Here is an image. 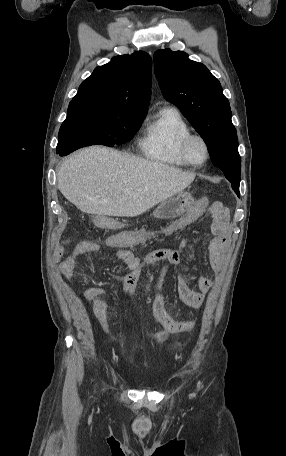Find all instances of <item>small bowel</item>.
<instances>
[{
	"mask_svg": "<svg viewBox=\"0 0 286 456\" xmlns=\"http://www.w3.org/2000/svg\"><path fill=\"white\" fill-rule=\"evenodd\" d=\"M205 208V204L197 203L189 208L183 216L160 230L123 231L111 235L105 240L107 246L116 249V258L121 260L129 269V273L123 278L124 300L126 303L129 302L135 293L137 282L143 268L151 264L161 263V268L153 282L152 310L155 318L163 325L164 329L160 332L147 334L146 338L151 342H161L171 334L189 331L195 326V321L174 320L166 311L163 296L164 282L169 268L172 265H178L182 262L187 240L183 239L177 248L154 250L142 259L123 248L144 243L152 238L173 235L201 217ZM210 211L213 221L208 238V261L213 270L221 271L229 249V215L224 208L213 210L210 207ZM64 244H61L55 251V260L57 262L65 255ZM101 249V243L95 240H83L77 243L59 263V273L62 278L68 284H71L77 260L86 255L98 254L101 252ZM193 282L199 291L192 290L184 276L178 273L175 287L180 299L186 305L199 308L205 303L206 293L211 289L212 281L198 274L195 276ZM103 295V289L93 287L85 291L83 299L86 304H94L95 321L101 332L107 335L109 333V324L107 321L106 305L101 299Z\"/></svg>",
	"mask_w": 286,
	"mask_h": 456,
	"instance_id": "1",
	"label": "small bowel"
}]
</instances>
